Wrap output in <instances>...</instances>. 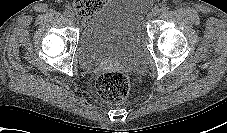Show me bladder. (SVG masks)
I'll return each mask as SVG.
<instances>
[{
    "instance_id": "31cf9c89",
    "label": "bladder",
    "mask_w": 227,
    "mask_h": 133,
    "mask_svg": "<svg viewBox=\"0 0 227 133\" xmlns=\"http://www.w3.org/2000/svg\"><path fill=\"white\" fill-rule=\"evenodd\" d=\"M151 0H108L83 24L76 55L83 68L116 62L132 70L143 65L144 20Z\"/></svg>"
}]
</instances>
